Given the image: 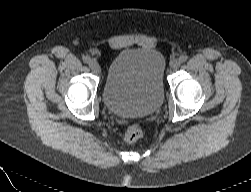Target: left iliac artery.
I'll return each instance as SVG.
<instances>
[{
  "label": "left iliac artery",
  "instance_id": "left-iliac-artery-1",
  "mask_svg": "<svg viewBox=\"0 0 251 192\" xmlns=\"http://www.w3.org/2000/svg\"><path fill=\"white\" fill-rule=\"evenodd\" d=\"M187 59H188V56H187V55H181V56L179 57L180 62H185V61H187Z\"/></svg>",
  "mask_w": 251,
  "mask_h": 192
}]
</instances>
